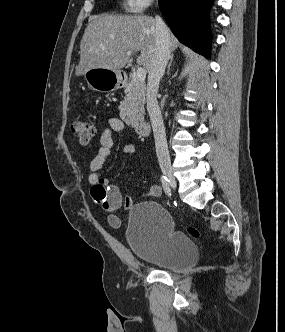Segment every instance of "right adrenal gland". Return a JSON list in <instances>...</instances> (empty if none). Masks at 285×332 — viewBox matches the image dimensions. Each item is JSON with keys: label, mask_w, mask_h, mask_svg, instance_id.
Returning a JSON list of instances; mask_svg holds the SVG:
<instances>
[{"label": "right adrenal gland", "mask_w": 285, "mask_h": 332, "mask_svg": "<svg viewBox=\"0 0 285 332\" xmlns=\"http://www.w3.org/2000/svg\"><path fill=\"white\" fill-rule=\"evenodd\" d=\"M173 57H174V54H172L171 57H170V62H169L168 67H167V74L170 73V69H171V64H172V61H173Z\"/></svg>", "instance_id": "right-adrenal-gland-1"}]
</instances>
